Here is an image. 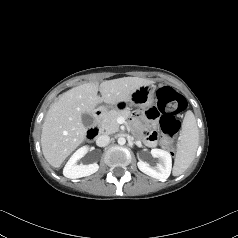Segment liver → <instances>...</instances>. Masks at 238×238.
<instances>
[{
	"mask_svg": "<svg viewBox=\"0 0 238 238\" xmlns=\"http://www.w3.org/2000/svg\"><path fill=\"white\" fill-rule=\"evenodd\" d=\"M152 80L123 77L74 87L52 103L42 125L41 147L47 162L60 167L63 161L84 141L86 128L82 115L93 114L98 104L117 105L129 102L132 93ZM98 91L101 93L99 97Z\"/></svg>",
	"mask_w": 238,
	"mask_h": 238,
	"instance_id": "liver-1",
	"label": "liver"
}]
</instances>
